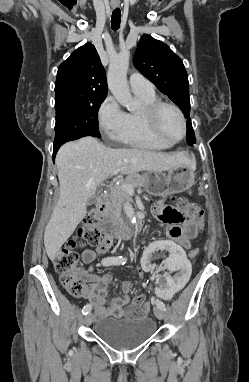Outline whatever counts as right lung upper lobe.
<instances>
[{
    "instance_id": "obj_1",
    "label": "right lung upper lobe",
    "mask_w": 249,
    "mask_h": 382,
    "mask_svg": "<svg viewBox=\"0 0 249 382\" xmlns=\"http://www.w3.org/2000/svg\"><path fill=\"white\" fill-rule=\"evenodd\" d=\"M106 73L91 43L79 47L58 68L55 107L106 98Z\"/></svg>"
}]
</instances>
